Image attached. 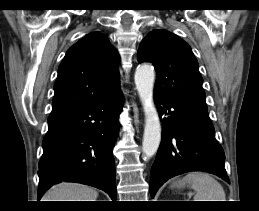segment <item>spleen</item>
I'll return each mask as SVG.
<instances>
[{
    "mask_svg": "<svg viewBox=\"0 0 259 211\" xmlns=\"http://www.w3.org/2000/svg\"><path fill=\"white\" fill-rule=\"evenodd\" d=\"M183 181L189 182L196 191L194 201H226V195L221 184L204 172H190Z\"/></svg>",
    "mask_w": 259,
    "mask_h": 211,
    "instance_id": "1",
    "label": "spleen"
}]
</instances>
